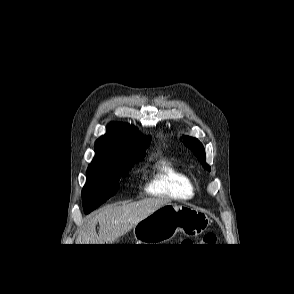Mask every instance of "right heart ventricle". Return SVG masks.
I'll return each instance as SVG.
<instances>
[{
	"mask_svg": "<svg viewBox=\"0 0 294 294\" xmlns=\"http://www.w3.org/2000/svg\"><path fill=\"white\" fill-rule=\"evenodd\" d=\"M142 189L148 195L178 198L191 195L193 184L171 159L162 158L155 163Z\"/></svg>",
	"mask_w": 294,
	"mask_h": 294,
	"instance_id": "right-heart-ventricle-1",
	"label": "right heart ventricle"
}]
</instances>
